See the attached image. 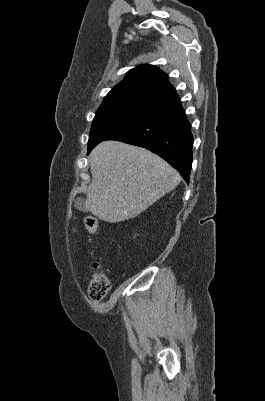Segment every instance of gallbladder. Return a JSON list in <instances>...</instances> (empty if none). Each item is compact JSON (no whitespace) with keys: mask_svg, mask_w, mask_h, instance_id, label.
Wrapping results in <instances>:
<instances>
[{"mask_svg":"<svg viewBox=\"0 0 265 401\" xmlns=\"http://www.w3.org/2000/svg\"><path fill=\"white\" fill-rule=\"evenodd\" d=\"M74 207L75 209H77V211H83V213H88L85 198H82V196H77L76 201H74Z\"/></svg>","mask_w":265,"mask_h":401,"instance_id":"bac80fb5","label":"gallbladder"}]
</instances>
